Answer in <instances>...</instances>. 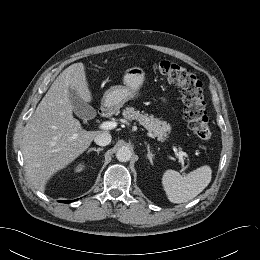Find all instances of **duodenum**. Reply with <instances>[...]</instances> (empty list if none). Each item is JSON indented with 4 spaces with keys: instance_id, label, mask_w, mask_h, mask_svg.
Masks as SVG:
<instances>
[{
    "instance_id": "1",
    "label": "duodenum",
    "mask_w": 260,
    "mask_h": 260,
    "mask_svg": "<svg viewBox=\"0 0 260 260\" xmlns=\"http://www.w3.org/2000/svg\"><path fill=\"white\" fill-rule=\"evenodd\" d=\"M107 112H108V106H102L99 110V114L102 116L106 115Z\"/></svg>"
}]
</instances>
